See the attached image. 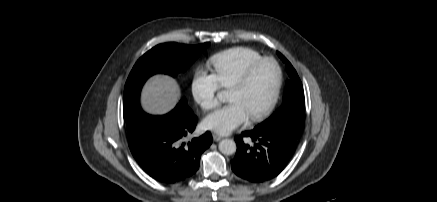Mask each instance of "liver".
Returning <instances> with one entry per match:
<instances>
[{"label":"liver","instance_id":"6515ba94","mask_svg":"<svg viewBox=\"0 0 437 202\" xmlns=\"http://www.w3.org/2000/svg\"><path fill=\"white\" fill-rule=\"evenodd\" d=\"M179 96V86L173 79L158 76L145 85L141 104L150 114H164L174 108Z\"/></svg>","mask_w":437,"mask_h":202}]
</instances>
